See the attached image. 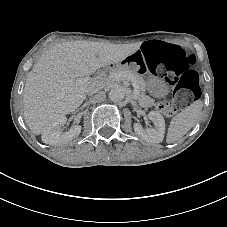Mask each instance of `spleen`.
<instances>
[{
	"label": "spleen",
	"instance_id": "obj_1",
	"mask_svg": "<svg viewBox=\"0 0 227 227\" xmlns=\"http://www.w3.org/2000/svg\"><path fill=\"white\" fill-rule=\"evenodd\" d=\"M201 110V102H195L174 116L168 128L166 142L174 143L186 135L196 124Z\"/></svg>",
	"mask_w": 227,
	"mask_h": 227
}]
</instances>
